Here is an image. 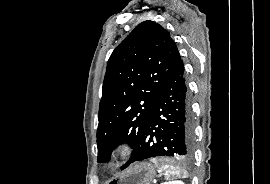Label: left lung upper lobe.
<instances>
[{
  "label": "left lung upper lobe",
  "instance_id": "5c2ea615",
  "mask_svg": "<svg viewBox=\"0 0 270 184\" xmlns=\"http://www.w3.org/2000/svg\"><path fill=\"white\" fill-rule=\"evenodd\" d=\"M180 60L169 32L150 20L140 23L115 48L99 105V162L108 161L123 142L132 145L134 156L157 97Z\"/></svg>",
  "mask_w": 270,
  "mask_h": 184
}]
</instances>
